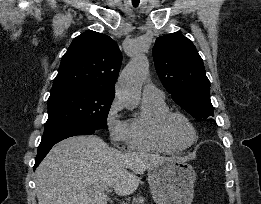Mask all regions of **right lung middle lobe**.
I'll return each instance as SVG.
<instances>
[{
  "mask_svg": "<svg viewBox=\"0 0 261 204\" xmlns=\"http://www.w3.org/2000/svg\"><path fill=\"white\" fill-rule=\"evenodd\" d=\"M114 95L95 90H68L51 94L43 135L76 129H103Z\"/></svg>",
  "mask_w": 261,
  "mask_h": 204,
  "instance_id": "right-lung-middle-lobe-1",
  "label": "right lung middle lobe"
}]
</instances>
